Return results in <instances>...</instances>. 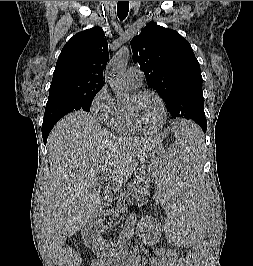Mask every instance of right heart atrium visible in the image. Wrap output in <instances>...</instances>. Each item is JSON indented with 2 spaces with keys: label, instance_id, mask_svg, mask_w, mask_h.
Returning <instances> with one entry per match:
<instances>
[{
  "label": "right heart atrium",
  "instance_id": "1",
  "mask_svg": "<svg viewBox=\"0 0 253 266\" xmlns=\"http://www.w3.org/2000/svg\"><path fill=\"white\" fill-rule=\"evenodd\" d=\"M116 101L109 92L107 85H103L94 95L90 110L103 124L108 125L115 110Z\"/></svg>",
  "mask_w": 253,
  "mask_h": 266
}]
</instances>
